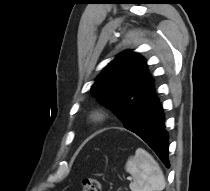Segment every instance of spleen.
I'll return each instance as SVG.
<instances>
[{
    "label": "spleen",
    "mask_w": 210,
    "mask_h": 191,
    "mask_svg": "<svg viewBox=\"0 0 210 191\" xmlns=\"http://www.w3.org/2000/svg\"><path fill=\"white\" fill-rule=\"evenodd\" d=\"M133 177L129 187L132 191H162L165 178L159 164L144 149L138 148L125 166Z\"/></svg>",
    "instance_id": "1"
}]
</instances>
